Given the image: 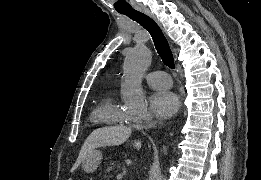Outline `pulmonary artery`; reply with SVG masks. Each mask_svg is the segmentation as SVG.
Returning a JSON list of instances; mask_svg holds the SVG:
<instances>
[{
	"label": "pulmonary artery",
	"instance_id": "e3ab8cb5",
	"mask_svg": "<svg viewBox=\"0 0 261 180\" xmlns=\"http://www.w3.org/2000/svg\"><path fill=\"white\" fill-rule=\"evenodd\" d=\"M145 81L150 84L151 88H170L171 78L163 71H154L144 77Z\"/></svg>",
	"mask_w": 261,
	"mask_h": 180
}]
</instances>
